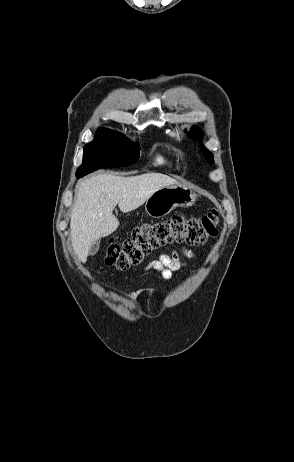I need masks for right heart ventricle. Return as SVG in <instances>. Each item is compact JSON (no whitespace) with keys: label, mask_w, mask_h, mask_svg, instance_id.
<instances>
[{"label":"right heart ventricle","mask_w":294,"mask_h":462,"mask_svg":"<svg viewBox=\"0 0 294 462\" xmlns=\"http://www.w3.org/2000/svg\"><path fill=\"white\" fill-rule=\"evenodd\" d=\"M155 163L157 165H168V159L164 153H158L155 158Z\"/></svg>","instance_id":"obj_1"}]
</instances>
